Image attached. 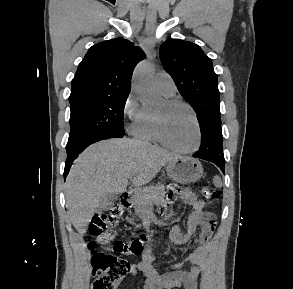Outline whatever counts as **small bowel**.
Returning <instances> with one entry per match:
<instances>
[{"instance_id": "c3829d8e", "label": "small bowel", "mask_w": 293, "mask_h": 289, "mask_svg": "<svg viewBox=\"0 0 293 289\" xmlns=\"http://www.w3.org/2000/svg\"><path fill=\"white\" fill-rule=\"evenodd\" d=\"M184 199L193 209L187 219L186 229L182 230L180 226L173 225L168 230V236L174 244H185L195 233L197 227H200L201 231L195 240V247L183 262L168 266L161 272L152 265L155 258L154 254L151 250L147 251L143 260L135 266L145 277L144 289L180 287L183 289H198L197 280L201 274V266L205 261L207 244L215 228V216L204 210V201L193 192H186ZM185 264L190 265L188 270L184 269Z\"/></svg>"}]
</instances>
